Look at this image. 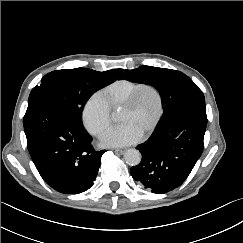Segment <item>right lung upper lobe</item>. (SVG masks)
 Segmentation results:
<instances>
[{"label": "right lung upper lobe", "instance_id": "1", "mask_svg": "<svg viewBox=\"0 0 243 243\" xmlns=\"http://www.w3.org/2000/svg\"><path fill=\"white\" fill-rule=\"evenodd\" d=\"M122 71H123L122 69H115V70L104 71L103 73L113 76L114 79L116 80L120 76Z\"/></svg>", "mask_w": 243, "mask_h": 243}]
</instances>
